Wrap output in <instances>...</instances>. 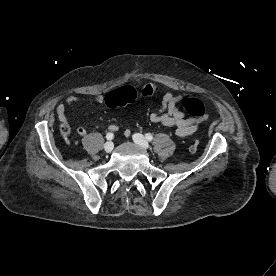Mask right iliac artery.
<instances>
[{"label":"right iliac artery","instance_id":"1","mask_svg":"<svg viewBox=\"0 0 276 276\" xmlns=\"http://www.w3.org/2000/svg\"><path fill=\"white\" fill-rule=\"evenodd\" d=\"M106 138H107V140H112L114 138V134L109 132V133H107Z\"/></svg>","mask_w":276,"mask_h":276}]
</instances>
